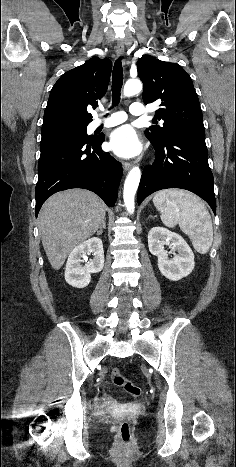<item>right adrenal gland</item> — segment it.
Returning a JSON list of instances; mask_svg holds the SVG:
<instances>
[{
    "label": "right adrenal gland",
    "instance_id": "2a0ac1e0",
    "mask_svg": "<svg viewBox=\"0 0 236 467\" xmlns=\"http://www.w3.org/2000/svg\"><path fill=\"white\" fill-rule=\"evenodd\" d=\"M103 229H106V218L104 219L102 225L100 226L99 230L97 231V235H101L103 233Z\"/></svg>",
    "mask_w": 236,
    "mask_h": 467
}]
</instances>
